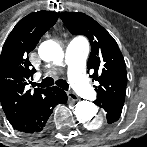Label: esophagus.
<instances>
[{
    "instance_id": "obj_1",
    "label": "esophagus",
    "mask_w": 147,
    "mask_h": 147,
    "mask_svg": "<svg viewBox=\"0 0 147 147\" xmlns=\"http://www.w3.org/2000/svg\"><path fill=\"white\" fill-rule=\"evenodd\" d=\"M67 96L73 102L78 100V96L74 92L71 91L67 92Z\"/></svg>"
}]
</instances>
